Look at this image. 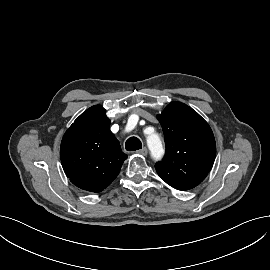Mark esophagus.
Listing matches in <instances>:
<instances>
[{
    "label": "esophagus",
    "instance_id": "1",
    "mask_svg": "<svg viewBox=\"0 0 270 270\" xmlns=\"http://www.w3.org/2000/svg\"><path fill=\"white\" fill-rule=\"evenodd\" d=\"M136 153H138V154H141V155H147L148 154V150H147V148L146 147H143L142 149H140V150H138V151H136Z\"/></svg>",
    "mask_w": 270,
    "mask_h": 270
}]
</instances>
